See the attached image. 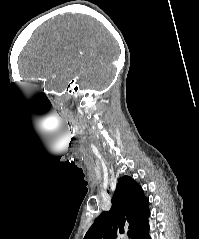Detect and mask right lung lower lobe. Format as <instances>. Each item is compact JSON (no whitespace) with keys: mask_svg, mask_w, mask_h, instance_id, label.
I'll use <instances>...</instances> for the list:
<instances>
[{"mask_svg":"<svg viewBox=\"0 0 199 239\" xmlns=\"http://www.w3.org/2000/svg\"><path fill=\"white\" fill-rule=\"evenodd\" d=\"M132 239H151L149 236L148 220L136 231Z\"/></svg>","mask_w":199,"mask_h":239,"instance_id":"right-lung-lower-lobe-1","label":"right lung lower lobe"}]
</instances>
